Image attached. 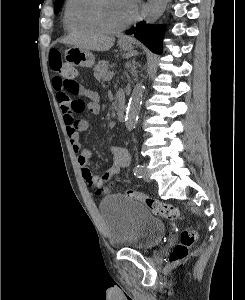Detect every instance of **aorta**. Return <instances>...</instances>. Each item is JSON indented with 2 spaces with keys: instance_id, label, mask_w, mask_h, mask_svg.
Wrapping results in <instances>:
<instances>
[{
  "instance_id": "aorta-1",
  "label": "aorta",
  "mask_w": 245,
  "mask_h": 300,
  "mask_svg": "<svg viewBox=\"0 0 245 300\" xmlns=\"http://www.w3.org/2000/svg\"><path fill=\"white\" fill-rule=\"evenodd\" d=\"M169 0H148L143 16L146 22H156L164 13ZM144 91L142 83H137L133 89L126 111V127L131 130L135 127L140 112L141 100Z\"/></svg>"
}]
</instances>
